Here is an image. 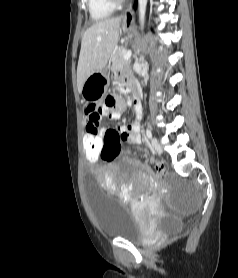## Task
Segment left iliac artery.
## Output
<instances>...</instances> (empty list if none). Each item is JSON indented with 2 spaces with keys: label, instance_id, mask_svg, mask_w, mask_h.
Wrapping results in <instances>:
<instances>
[{
  "label": "left iliac artery",
  "instance_id": "1",
  "mask_svg": "<svg viewBox=\"0 0 238 278\" xmlns=\"http://www.w3.org/2000/svg\"><path fill=\"white\" fill-rule=\"evenodd\" d=\"M146 135H147V137H148L149 139L152 138V133H151V130H150V129H147V130H146Z\"/></svg>",
  "mask_w": 238,
  "mask_h": 278
}]
</instances>
